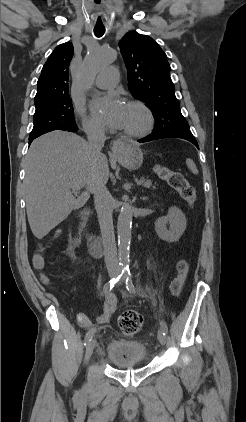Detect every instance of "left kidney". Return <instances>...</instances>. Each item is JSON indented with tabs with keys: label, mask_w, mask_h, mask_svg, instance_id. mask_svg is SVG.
Segmentation results:
<instances>
[{
	"label": "left kidney",
	"mask_w": 246,
	"mask_h": 422,
	"mask_svg": "<svg viewBox=\"0 0 246 422\" xmlns=\"http://www.w3.org/2000/svg\"><path fill=\"white\" fill-rule=\"evenodd\" d=\"M169 225V228H167ZM187 225V219L177 207H170L167 216L160 217L155 222V231L164 241L176 242L183 235Z\"/></svg>",
	"instance_id": "1"
}]
</instances>
